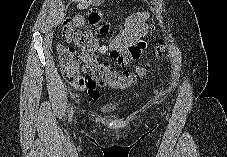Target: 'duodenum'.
I'll return each mask as SVG.
<instances>
[{"label": "duodenum", "instance_id": "1", "mask_svg": "<svg viewBox=\"0 0 227 157\" xmlns=\"http://www.w3.org/2000/svg\"><path fill=\"white\" fill-rule=\"evenodd\" d=\"M98 21H103V16H92V24L93 25H97L98 24ZM106 29L107 30H110L111 29V26L110 25H107L106 26Z\"/></svg>", "mask_w": 227, "mask_h": 157}]
</instances>
